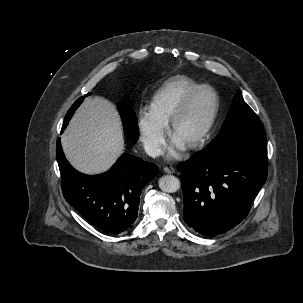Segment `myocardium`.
Here are the masks:
<instances>
[{"label":"myocardium","instance_id":"myocardium-1","mask_svg":"<svg viewBox=\"0 0 303 303\" xmlns=\"http://www.w3.org/2000/svg\"><path fill=\"white\" fill-rule=\"evenodd\" d=\"M204 90H209L210 92H212V94L214 95V98H215V104H214L213 111H212L207 123L203 127V129L199 132V134L191 142H189L187 144L188 148H190V149H196V148L200 147L206 141L210 132L212 131V129L215 125V122L217 120V117L219 115L220 106H221V99H220L219 93L216 91V89H214L210 85L204 84V85L198 86L185 97V99L178 106V108L175 110V112L172 114V116L169 120V131L172 135H174L179 121L184 116V114L187 112V110L191 106V104H192L193 100L196 98V96Z\"/></svg>","mask_w":303,"mask_h":303}]
</instances>
